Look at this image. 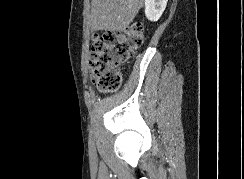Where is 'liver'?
<instances>
[{
  "mask_svg": "<svg viewBox=\"0 0 244 179\" xmlns=\"http://www.w3.org/2000/svg\"><path fill=\"white\" fill-rule=\"evenodd\" d=\"M144 0H92V30L121 32L133 22Z\"/></svg>",
  "mask_w": 244,
  "mask_h": 179,
  "instance_id": "1",
  "label": "liver"
}]
</instances>
